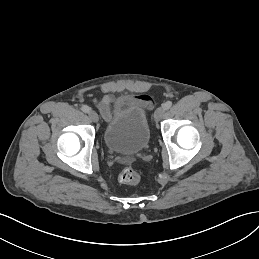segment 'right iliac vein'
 <instances>
[{"label":"right iliac vein","instance_id":"63e3f726","mask_svg":"<svg viewBox=\"0 0 259 259\" xmlns=\"http://www.w3.org/2000/svg\"><path fill=\"white\" fill-rule=\"evenodd\" d=\"M88 116H89V118H90L93 122H95V123L98 122V115H97V113H96L95 111L89 110Z\"/></svg>","mask_w":259,"mask_h":259}]
</instances>
